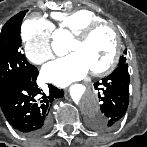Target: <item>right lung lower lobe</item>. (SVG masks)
Returning <instances> with one entry per match:
<instances>
[{
    "mask_svg": "<svg viewBox=\"0 0 147 147\" xmlns=\"http://www.w3.org/2000/svg\"><path fill=\"white\" fill-rule=\"evenodd\" d=\"M33 75L0 87V106L17 131L26 135H38L49 127V107L54 98L63 97V90L49 85V93H41Z\"/></svg>",
    "mask_w": 147,
    "mask_h": 147,
    "instance_id": "obj_1",
    "label": "right lung lower lobe"
}]
</instances>
